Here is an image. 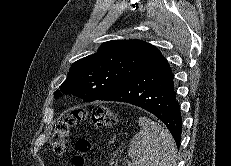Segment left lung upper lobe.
Instances as JSON below:
<instances>
[{"mask_svg":"<svg viewBox=\"0 0 231 166\" xmlns=\"http://www.w3.org/2000/svg\"><path fill=\"white\" fill-rule=\"evenodd\" d=\"M161 55L160 51L142 40H112L98 51L71 66L60 90L74 94L86 102L99 99ZM57 90L55 97H60Z\"/></svg>","mask_w":231,"mask_h":166,"instance_id":"obj_1","label":"left lung upper lobe"}]
</instances>
